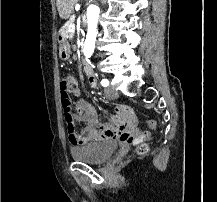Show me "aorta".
I'll use <instances>...</instances> for the list:
<instances>
[{"label":"aorta","instance_id":"obj_1","mask_svg":"<svg viewBox=\"0 0 217 202\" xmlns=\"http://www.w3.org/2000/svg\"><path fill=\"white\" fill-rule=\"evenodd\" d=\"M99 8L98 6H88L86 16H87V36L84 42V50L83 54L86 58H91L96 42L97 36V26H98V18H99Z\"/></svg>","mask_w":217,"mask_h":202}]
</instances>
